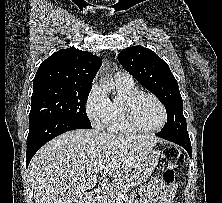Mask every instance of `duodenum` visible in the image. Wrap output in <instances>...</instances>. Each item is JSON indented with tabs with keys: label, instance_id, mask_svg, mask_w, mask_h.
Returning <instances> with one entry per match:
<instances>
[{
	"label": "duodenum",
	"instance_id": "obj_1",
	"mask_svg": "<svg viewBox=\"0 0 222 203\" xmlns=\"http://www.w3.org/2000/svg\"><path fill=\"white\" fill-rule=\"evenodd\" d=\"M103 196V192L100 189H95L90 193L91 203H100Z\"/></svg>",
	"mask_w": 222,
	"mask_h": 203
}]
</instances>
